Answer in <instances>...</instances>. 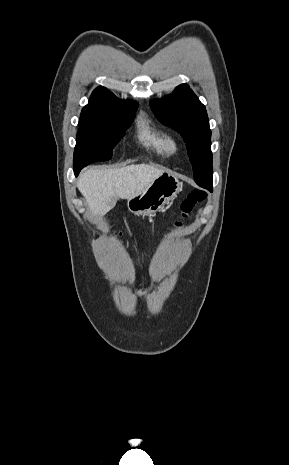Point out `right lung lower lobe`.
Instances as JSON below:
<instances>
[{"label": "right lung lower lobe", "mask_w": 289, "mask_h": 465, "mask_svg": "<svg viewBox=\"0 0 289 465\" xmlns=\"http://www.w3.org/2000/svg\"><path fill=\"white\" fill-rule=\"evenodd\" d=\"M83 168V166H77V165H74V173L75 175L77 176L80 172V170Z\"/></svg>", "instance_id": "right-lung-lower-lobe-1"}]
</instances>
